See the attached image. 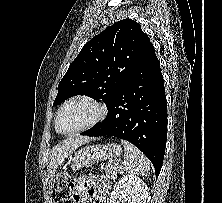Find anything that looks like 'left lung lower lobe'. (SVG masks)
I'll use <instances>...</instances> for the list:
<instances>
[{"instance_id": "0a47b994", "label": "left lung lower lobe", "mask_w": 222, "mask_h": 203, "mask_svg": "<svg viewBox=\"0 0 222 203\" xmlns=\"http://www.w3.org/2000/svg\"><path fill=\"white\" fill-rule=\"evenodd\" d=\"M107 108L104 121L81 134L131 142L150 159L158 176L166 146L167 105L160 63L151 42Z\"/></svg>"}]
</instances>
